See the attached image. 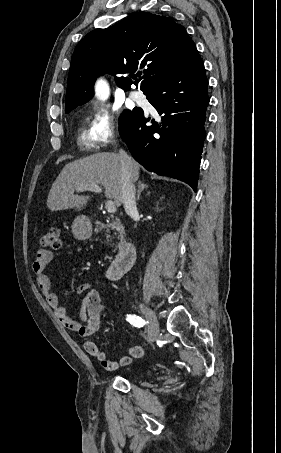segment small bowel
<instances>
[{
	"label": "small bowel",
	"instance_id": "c3829d8e",
	"mask_svg": "<svg viewBox=\"0 0 281 453\" xmlns=\"http://www.w3.org/2000/svg\"><path fill=\"white\" fill-rule=\"evenodd\" d=\"M51 261L52 253L49 250L45 248L35 250L32 271L38 289L62 324L81 337L91 336L101 327V315L105 307L99 292L90 283L79 284L73 294L83 297L80 300L78 317H74L65 306L60 304L58 296L52 291L51 281L47 275V267ZM83 347L92 358L99 361L108 371H114L128 365L132 357L141 356L145 350L141 346H133L130 347L128 354L118 359H111L103 348L92 341H85Z\"/></svg>",
	"mask_w": 281,
	"mask_h": 453
}]
</instances>
